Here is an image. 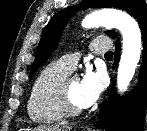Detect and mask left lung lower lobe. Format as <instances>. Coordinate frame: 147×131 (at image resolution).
Masks as SVG:
<instances>
[{
  "mask_svg": "<svg viewBox=\"0 0 147 131\" xmlns=\"http://www.w3.org/2000/svg\"><path fill=\"white\" fill-rule=\"evenodd\" d=\"M143 32V62L139 84L127 97L119 98L114 87L100 114L97 128L106 131H142V122L147 106V20L141 24ZM120 57V42L116 41L115 63Z\"/></svg>",
  "mask_w": 147,
  "mask_h": 131,
  "instance_id": "left-lung-lower-lobe-1",
  "label": "left lung lower lobe"
}]
</instances>
